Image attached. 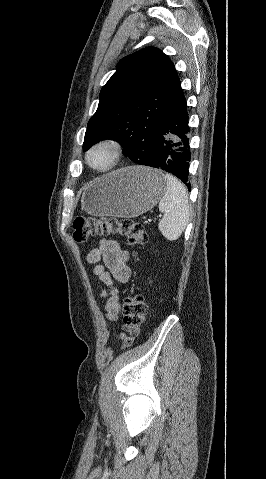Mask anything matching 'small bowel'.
<instances>
[{"label": "small bowel", "instance_id": "c3829d8e", "mask_svg": "<svg viewBox=\"0 0 266 479\" xmlns=\"http://www.w3.org/2000/svg\"><path fill=\"white\" fill-rule=\"evenodd\" d=\"M87 259L94 264V274L108 289H103L101 296L105 299L107 318L115 321L121 309L118 284L128 282L131 277L129 255L117 241L102 239L98 247L88 253Z\"/></svg>", "mask_w": 266, "mask_h": 479}]
</instances>
